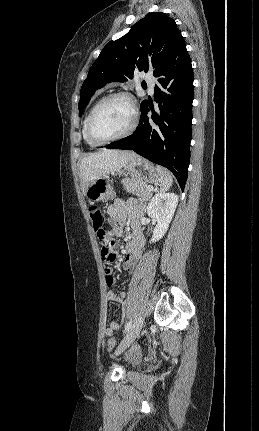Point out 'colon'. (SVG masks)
<instances>
[{"label":"colon","instance_id":"colon-1","mask_svg":"<svg viewBox=\"0 0 259 431\" xmlns=\"http://www.w3.org/2000/svg\"><path fill=\"white\" fill-rule=\"evenodd\" d=\"M89 215L92 220L94 231L101 245V254L105 261L113 262L117 259V252L114 243L111 241L109 233L104 224V216L101 208L97 205L89 207ZM116 341L113 337L107 339V348L111 352L114 350Z\"/></svg>","mask_w":259,"mask_h":431}]
</instances>
